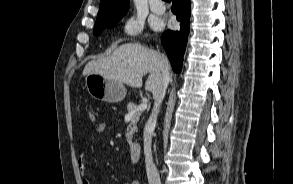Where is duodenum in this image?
<instances>
[{
	"mask_svg": "<svg viewBox=\"0 0 293 184\" xmlns=\"http://www.w3.org/2000/svg\"><path fill=\"white\" fill-rule=\"evenodd\" d=\"M141 146L137 142L130 143V157L132 161H138L140 158Z\"/></svg>",
	"mask_w": 293,
	"mask_h": 184,
	"instance_id": "1",
	"label": "duodenum"
}]
</instances>
